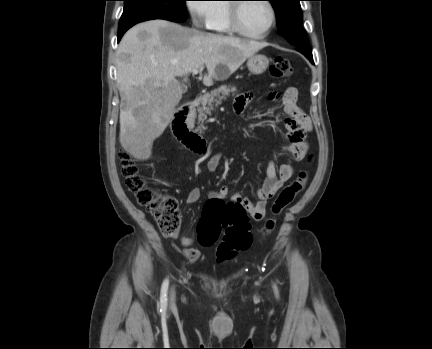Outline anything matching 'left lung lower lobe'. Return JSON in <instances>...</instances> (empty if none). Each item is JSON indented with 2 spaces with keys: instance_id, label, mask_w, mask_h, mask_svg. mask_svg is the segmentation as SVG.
Listing matches in <instances>:
<instances>
[{
  "instance_id": "1",
  "label": "left lung lower lobe",
  "mask_w": 432,
  "mask_h": 349,
  "mask_svg": "<svg viewBox=\"0 0 432 349\" xmlns=\"http://www.w3.org/2000/svg\"><path fill=\"white\" fill-rule=\"evenodd\" d=\"M297 51L301 52L302 54H304L309 61L314 64L313 62V57H312V53H311V49H305V48H296Z\"/></svg>"
}]
</instances>
